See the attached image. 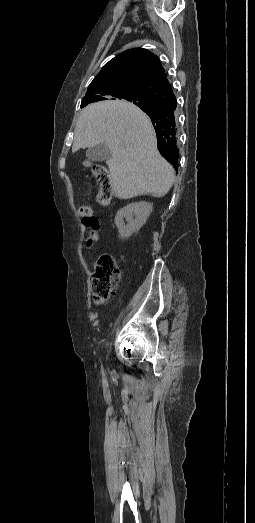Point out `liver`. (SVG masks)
<instances>
[{
    "mask_svg": "<svg viewBox=\"0 0 255 523\" xmlns=\"http://www.w3.org/2000/svg\"><path fill=\"white\" fill-rule=\"evenodd\" d=\"M107 144L112 158L107 166L116 198L153 194L162 198L173 186L171 164L157 150L152 122L126 100H105L86 106L75 126L72 152Z\"/></svg>",
    "mask_w": 255,
    "mask_h": 523,
    "instance_id": "liver-1",
    "label": "liver"
}]
</instances>
